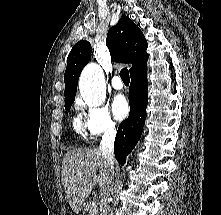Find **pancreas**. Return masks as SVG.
I'll list each match as a JSON object with an SVG mask.
<instances>
[{
    "label": "pancreas",
    "instance_id": "cf45deb5",
    "mask_svg": "<svg viewBox=\"0 0 221 215\" xmlns=\"http://www.w3.org/2000/svg\"><path fill=\"white\" fill-rule=\"evenodd\" d=\"M91 202H89V203H87L86 205H85V211H88L89 212V209L91 208ZM91 215V214H90ZM92 215H98V211L97 212H95L94 214H92Z\"/></svg>",
    "mask_w": 221,
    "mask_h": 215
}]
</instances>
